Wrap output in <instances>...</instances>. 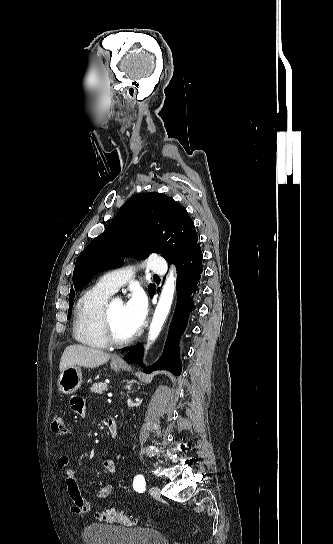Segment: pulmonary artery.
<instances>
[{
    "mask_svg": "<svg viewBox=\"0 0 333 544\" xmlns=\"http://www.w3.org/2000/svg\"><path fill=\"white\" fill-rule=\"evenodd\" d=\"M148 268L155 274L163 275L167 271L166 263L159 257L149 259ZM135 274L133 267L112 270L104 274L99 282L112 292H116L121 286L129 282Z\"/></svg>",
    "mask_w": 333,
    "mask_h": 544,
    "instance_id": "pulmonary-artery-1",
    "label": "pulmonary artery"
}]
</instances>
